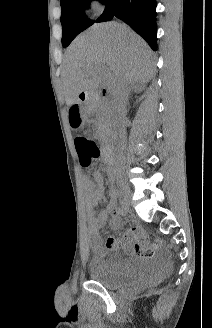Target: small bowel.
I'll use <instances>...</instances> for the list:
<instances>
[{"mask_svg": "<svg viewBox=\"0 0 212 328\" xmlns=\"http://www.w3.org/2000/svg\"><path fill=\"white\" fill-rule=\"evenodd\" d=\"M82 186L87 209L91 247L94 251H100L102 249L103 242L101 236L99 235V230L103 227L107 216L110 213L113 214L111 220V226L113 228H118L122 223L120 211L116 204L117 193L114 191V189H111L110 203L104 210L96 213L94 211V208L98 205L100 201L104 200L105 198L103 175L100 172L96 171L93 173L92 179L87 176H84ZM108 243H110L111 245L109 246ZM107 247L109 249H121L125 254L128 255L137 254L141 256H150L154 252L153 248L150 247L143 240V232L137 226L125 230L122 241L109 239L107 241ZM113 261L116 262V267H122V263L120 261Z\"/></svg>", "mask_w": 212, "mask_h": 328, "instance_id": "obj_1", "label": "small bowel"}]
</instances>
